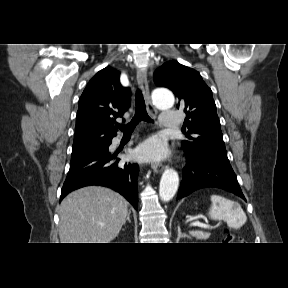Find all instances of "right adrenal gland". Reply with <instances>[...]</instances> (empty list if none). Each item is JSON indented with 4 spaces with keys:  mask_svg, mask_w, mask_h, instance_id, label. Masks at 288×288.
Masks as SVG:
<instances>
[{
    "mask_svg": "<svg viewBox=\"0 0 288 288\" xmlns=\"http://www.w3.org/2000/svg\"><path fill=\"white\" fill-rule=\"evenodd\" d=\"M127 221H128L129 223H131V220H130V211H129L128 215H127Z\"/></svg>",
    "mask_w": 288,
    "mask_h": 288,
    "instance_id": "1",
    "label": "right adrenal gland"
}]
</instances>
